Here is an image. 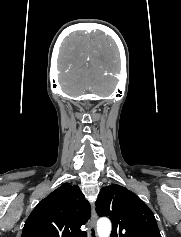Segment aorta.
Returning a JSON list of instances; mask_svg holds the SVG:
<instances>
[{
	"label": "aorta",
	"mask_w": 181,
	"mask_h": 237,
	"mask_svg": "<svg viewBox=\"0 0 181 237\" xmlns=\"http://www.w3.org/2000/svg\"><path fill=\"white\" fill-rule=\"evenodd\" d=\"M97 232L99 237H109L111 233V223L107 218H100L97 222Z\"/></svg>",
	"instance_id": "obj_1"
}]
</instances>
